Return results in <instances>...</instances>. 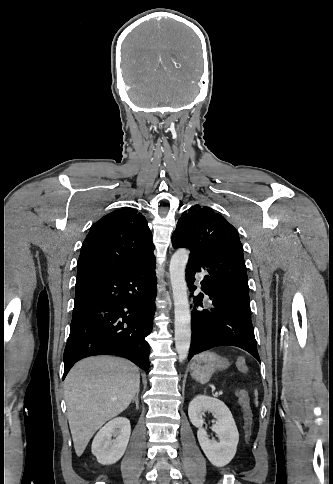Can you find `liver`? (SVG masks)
Returning <instances> with one entry per match:
<instances>
[{"instance_id": "1", "label": "liver", "mask_w": 333, "mask_h": 484, "mask_svg": "<svg viewBox=\"0 0 333 484\" xmlns=\"http://www.w3.org/2000/svg\"><path fill=\"white\" fill-rule=\"evenodd\" d=\"M139 385L138 368L122 358L90 357L69 371L64 381V396L78 457L94 433L129 406Z\"/></svg>"}]
</instances>
